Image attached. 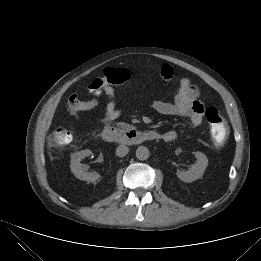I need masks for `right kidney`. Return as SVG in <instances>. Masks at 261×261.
<instances>
[{
  "mask_svg": "<svg viewBox=\"0 0 261 261\" xmlns=\"http://www.w3.org/2000/svg\"><path fill=\"white\" fill-rule=\"evenodd\" d=\"M91 154L90 150H82L72 154L70 168L74 176L80 180L95 182L100 178L98 173L84 172V166L81 164V160Z\"/></svg>",
  "mask_w": 261,
  "mask_h": 261,
  "instance_id": "right-kidney-1",
  "label": "right kidney"
}]
</instances>
